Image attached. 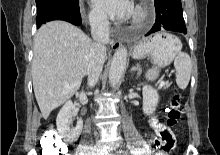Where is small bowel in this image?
<instances>
[{
    "label": "small bowel",
    "instance_id": "small-bowel-1",
    "mask_svg": "<svg viewBox=\"0 0 220 155\" xmlns=\"http://www.w3.org/2000/svg\"><path fill=\"white\" fill-rule=\"evenodd\" d=\"M151 124L153 125V127L156 129L157 126L160 125V123H158L155 119L152 120Z\"/></svg>",
    "mask_w": 220,
    "mask_h": 155
}]
</instances>
